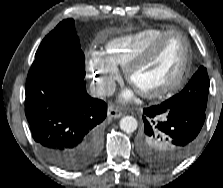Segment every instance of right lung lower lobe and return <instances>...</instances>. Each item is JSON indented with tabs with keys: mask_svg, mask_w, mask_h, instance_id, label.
I'll return each instance as SVG.
<instances>
[{
	"mask_svg": "<svg viewBox=\"0 0 223 188\" xmlns=\"http://www.w3.org/2000/svg\"><path fill=\"white\" fill-rule=\"evenodd\" d=\"M25 94V114L44 156L67 171L91 164L100 151L107 105L88 95L84 78L61 63L32 65Z\"/></svg>",
	"mask_w": 223,
	"mask_h": 188,
	"instance_id": "obj_1",
	"label": "right lung lower lobe"
}]
</instances>
